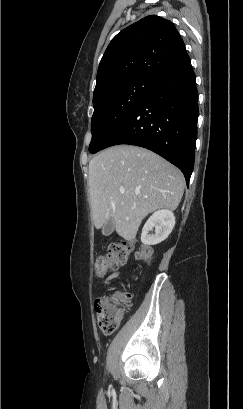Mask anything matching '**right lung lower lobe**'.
I'll use <instances>...</instances> for the list:
<instances>
[{"instance_id": "98d812e1", "label": "right lung lower lobe", "mask_w": 243, "mask_h": 409, "mask_svg": "<svg viewBox=\"0 0 243 409\" xmlns=\"http://www.w3.org/2000/svg\"><path fill=\"white\" fill-rule=\"evenodd\" d=\"M198 114L195 73L186 53L156 81L105 148L118 144L147 148L177 166L188 185L194 167Z\"/></svg>"}]
</instances>
